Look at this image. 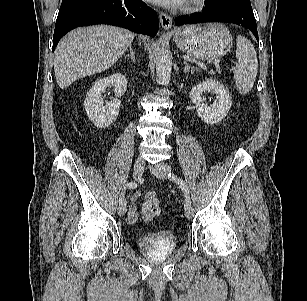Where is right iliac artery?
<instances>
[{
	"mask_svg": "<svg viewBox=\"0 0 307 301\" xmlns=\"http://www.w3.org/2000/svg\"><path fill=\"white\" fill-rule=\"evenodd\" d=\"M136 187H137V183L135 181H130V182H127L125 184L124 190H126V189H134ZM119 203H120V205H123L124 203H126L125 197H124V191L120 195Z\"/></svg>",
	"mask_w": 307,
	"mask_h": 301,
	"instance_id": "1",
	"label": "right iliac artery"
}]
</instances>
